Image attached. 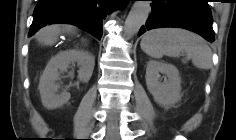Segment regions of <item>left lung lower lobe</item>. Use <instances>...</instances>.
<instances>
[{
    "mask_svg": "<svg viewBox=\"0 0 236 140\" xmlns=\"http://www.w3.org/2000/svg\"><path fill=\"white\" fill-rule=\"evenodd\" d=\"M180 27L214 41L212 14L207 0H152L151 14L138 36L147 30Z\"/></svg>",
    "mask_w": 236,
    "mask_h": 140,
    "instance_id": "obj_1",
    "label": "left lung lower lobe"
}]
</instances>
